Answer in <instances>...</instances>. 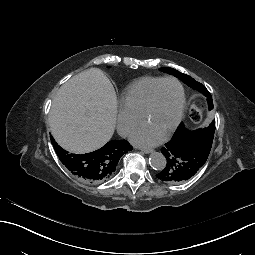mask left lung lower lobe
<instances>
[{
	"mask_svg": "<svg viewBox=\"0 0 255 255\" xmlns=\"http://www.w3.org/2000/svg\"><path fill=\"white\" fill-rule=\"evenodd\" d=\"M204 146L199 134L177 135L161 149L168 165L156 177L170 184H180L192 178L208 160Z\"/></svg>",
	"mask_w": 255,
	"mask_h": 255,
	"instance_id": "left-lung-lower-lobe-1",
	"label": "left lung lower lobe"
}]
</instances>
